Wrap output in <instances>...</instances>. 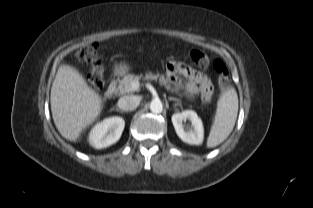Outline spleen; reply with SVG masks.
I'll return each instance as SVG.
<instances>
[{
  "label": "spleen",
  "instance_id": "1",
  "mask_svg": "<svg viewBox=\"0 0 313 208\" xmlns=\"http://www.w3.org/2000/svg\"><path fill=\"white\" fill-rule=\"evenodd\" d=\"M238 114V96L234 88L222 93L218 102L214 123L211 127L207 147H216L231 134Z\"/></svg>",
  "mask_w": 313,
  "mask_h": 208
}]
</instances>
